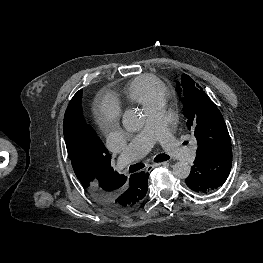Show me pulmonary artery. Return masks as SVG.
Returning a JSON list of instances; mask_svg holds the SVG:
<instances>
[{"mask_svg": "<svg viewBox=\"0 0 263 263\" xmlns=\"http://www.w3.org/2000/svg\"><path fill=\"white\" fill-rule=\"evenodd\" d=\"M144 128L128 144L118 160L119 167H125L131 162L147 154L156 142L172 156L185 162H192L196 156V147L181 146L168 129L165 118V103L161 100L148 108Z\"/></svg>", "mask_w": 263, "mask_h": 263, "instance_id": "1", "label": "pulmonary artery"}]
</instances>
